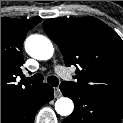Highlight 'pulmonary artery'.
<instances>
[{
	"label": "pulmonary artery",
	"instance_id": "e3ab8cb5",
	"mask_svg": "<svg viewBox=\"0 0 123 123\" xmlns=\"http://www.w3.org/2000/svg\"><path fill=\"white\" fill-rule=\"evenodd\" d=\"M55 71L59 74H63V67L60 65L55 66Z\"/></svg>",
	"mask_w": 123,
	"mask_h": 123
}]
</instances>
